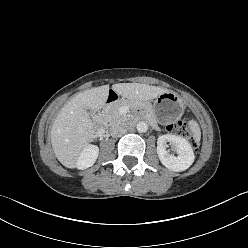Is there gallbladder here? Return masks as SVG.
Wrapping results in <instances>:
<instances>
[{
  "mask_svg": "<svg viewBox=\"0 0 248 248\" xmlns=\"http://www.w3.org/2000/svg\"><path fill=\"white\" fill-rule=\"evenodd\" d=\"M88 113H89V115H91V116H92V111H88Z\"/></svg>",
  "mask_w": 248,
  "mask_h": 248,
  "instance_id": "bac80fb5",
  "label": "gallbladder"
}]
</instances>
